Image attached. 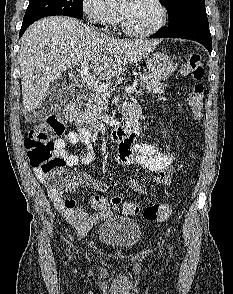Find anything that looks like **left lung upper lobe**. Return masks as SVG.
<instances>
[{
  "instance_id": "5c2ea615",
  "label": "left lung upper lobe",
  "mask_w": 233,
  "mask_h": 294,
  "mask_svg": "<svg viewBox=\"0 0 233 294\" xmlns=\"http://www.w3.org/2000/svg\"><path fill=\"white\" fill-rule=\"evenodd\" d=\"M165 5L169 24L175 23L187 16L207 17L204 0H159Z\"/></svg>"
}]
</instances>
